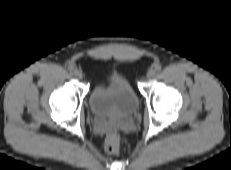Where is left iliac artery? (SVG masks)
<instances>
[{"instance_id":"1","label":"left iliac artery","mask_w":231,"mask_h":170,"mask_svg":"<svg viewBox=\"0 0 231 170\" xmlns=\"http://www.w3.org/2000/svg\"><path fill=\"white\" fill-rule=\"evenodd\" d=\"M161 65H159V64H157L156 66H155V69L157 70V71H160L161 70Z\"/></svg>"}]
</instances>
